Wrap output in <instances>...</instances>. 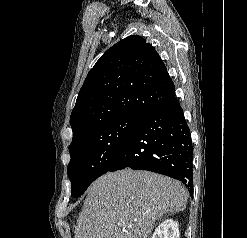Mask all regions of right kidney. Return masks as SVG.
Masks as SVG:
<instances>
[{
	"mask_svg": "<svg viewBox=\"0 0 247 238\" xmlns=\"http://www.w3.org/2000/svg\"><path fill=\"white\" fill-rule=\"evenodd\" d=\"M151 238H179L178 222L172 219L165 220L155 229Z\"/></svg>",
	"mask_w": 247,
	"mask_h": 238,
	"instance_id": "right-kidney-1",
	"label": "right kidney"
}]
</instances>
